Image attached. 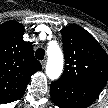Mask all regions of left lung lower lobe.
<instances>
[{"label": "left lung lower lobe", "mask_w": 108, "mask_h": 108, "mask_svg": "<svg viewBox=\"0 0 108 108\" xmlns=\"http://www.w3.org/2000/svg\"><path fill=\"white\" fill-rule=\"evenodd\" d=\"M102 89L59 79L51 84V99L60 108H86L95 101Z\"/></svg>", "instance_id": "0a47b994"}]
</instances>
